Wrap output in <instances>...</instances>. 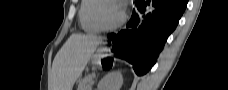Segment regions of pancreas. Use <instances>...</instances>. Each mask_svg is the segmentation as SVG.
<instances>
[{
	"mask_svg": "<svg viewBox=\"0 0 228 90\" xmlns=\"http://www.w3.org/2000/svg\"><path fill=\"white\" fill-rule=\"evenodd\" d=\"M93 74L86 76L78 84V90H91L93 84Z\"/></svg>",
	"mask_w": 228,
	"mask_h": 90,
	"instance_id": "cf45deb5",
	"label": "pancreas"
}]
</instances>
